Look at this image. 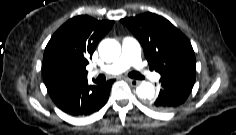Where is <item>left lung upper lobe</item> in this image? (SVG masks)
I'll use <instances>...</instances> for the list:
<instances>
[{"instance_id":"1","label":"left lung upper lobe","mask_w":236,"mask_h":135,"mask_svg":"<svg viewBox=\"0 0 236 135\" xmlns=\"http://www.w3.org/2000/svg\"><path fill=\"white\" fill-rule=\"evenodd\" d=\"M121 22L141 43L151 69L161 76L195 74V54L190 41L167 19L148 12Z\"/></svg>"}]
</instances>
